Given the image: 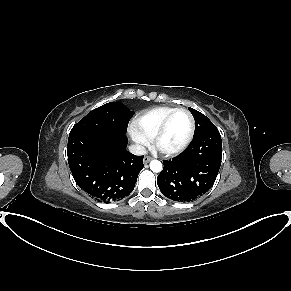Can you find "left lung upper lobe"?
I'll return each mask as SVG.
<instances>
[{
	"label": "left lung upper lobe",
	"instance_id": "left-lung-upper-lobe-1",
	"mask_svg": "<svg viewBox=\"0 0 291 291\" xmlns=\"http://www.w3.org/2000/svg\"><path fill=\"white\" fill-rule=\"evenodd\" d=\"M188 109L192 113L195 120V132L193 139L208 134L210 132L218 131L216 126L204 114L193 108L188 107Z\"/></svg>",
	"mask_w": 291,
	"mask_h": 291
}]
</instances>
